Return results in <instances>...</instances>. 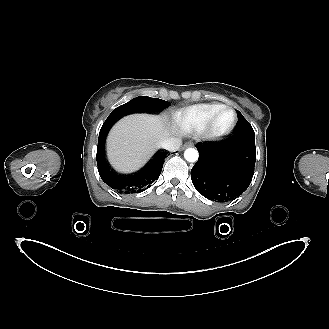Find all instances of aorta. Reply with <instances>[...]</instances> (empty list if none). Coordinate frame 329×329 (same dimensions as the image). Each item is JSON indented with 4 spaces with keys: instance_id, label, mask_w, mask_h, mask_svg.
I'll return each mask as SVG.
<instances>
[{
    "instance_id": "1",
    "label": "aorta",
    "mask_w": 329,
    "mask_h": 329,
    "mask_svg": "<svg viewBox=\"0 0 329 329\" xmlns=\"http://www.w3.org/2000/svg\"><path fill=\"white\" fill-rule=\"evenodd\" d=\"M184 157L188 162H196L199 157V153L194 148H187L184 152Z\"/></svg>"
}]
</instances>
